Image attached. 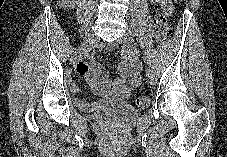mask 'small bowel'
<instances>
[{"mask_svg": "<svg viewBox=\"0 0 227 157\" xmlns=\"http://www.w3.org/2000/svg\"><path fill=\"white\" fill-rule=\"evenodd\" d=\"M152 3L160 6L165 14L172 11L171 0H151ZM114 44H109L107 49H112ZM76 73L84 76L93 93L100 97L95 103H87L80 99H75L77 107L83 111L93 112L103 108L109 101L118 102L128 98L131 90L140 82L141 64L137 53L132 47H125L122 50L119 72L121 78H107L102 67L92 59L87 63L80 62L76 66ZM72 95L76 96L80 89L75 83L70 84Z\"/></svg>", "mask_w": 227, "mask_h": 157, "instance_id": "c3829d8e", "label": "small bowel"}]
</instances>
